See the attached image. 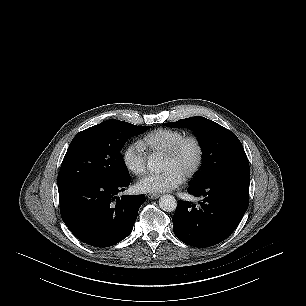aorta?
<instances>
[{"label":"aorta","instance_id":"762f6f07","mask_svg":"<svg viewBox=\"0 0 306 306\" xmlns=\"http://www.w3.org/2000/svg\"><path fill=\"white\" fill-rule=\"evenodd\" d=\"M148 164L151 170H156L159 166V159L157 157H151ZM159 206L163 211L172 212L176 209L177 202L174 196L166 194L159 199Z\"/></svg>","mask_w":306,"mask_h":306}]
</instances>
